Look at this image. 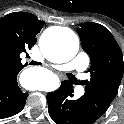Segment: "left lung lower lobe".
<instances>
[{"mask_svg":"<svg viewBox=\"0 0 124 124\" xmlns=\"http://www.w3.org/2000/svg\"><path fill=\"white\" fill-rule=\"evenodd\" d=\"M73 86L63 81L60 88L47 94L49 114L56 124H92L81 98L73 100Z\"/></svg>","mask_w":124,"mask_h":124,"instance_id":"1","label":"left lung lower lobe"}]
</instances>
